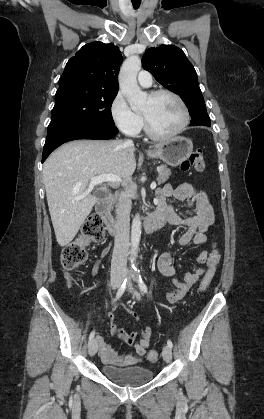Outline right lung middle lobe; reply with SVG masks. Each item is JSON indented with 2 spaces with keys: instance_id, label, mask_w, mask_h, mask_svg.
<instances>
[{
  "instance_id": "dd1d6c3e",
  "label": "right lung middle lobe",
  "mask_w": 264,
  "mask_h": 419,
  "mask_svg": "<svg viewBox=\"0 0 264 419\" xmlns=\"http://www.w3.org/2000/svg\"><path fill=\"white\" fill-rule=\"evenodd\" d=\"M117 92L95 91L83 85L59 87L47 138L81 124L115 126L111 106Z\"/></svg>"
}]
</instances>
